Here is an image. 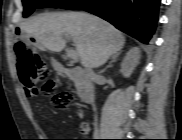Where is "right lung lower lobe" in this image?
I'll return each instance as SVG.
<instances>
[{
	"mask_svg": "<svg viewBox=\"0 0 182 140\" xmlns=\"http://www.w3.org/2000/svg\"><path fill=\"white\" fill-rule=\"evenodd\" d=\"M159 4L160 0H96L83 10L147 44L155 32Z\"/></svg>",
	"mask_w": 182,
	"mask_h": 140,
	"instance_id": "obj_1",
	"label": "right lung lower lobe"
}]
</instances>
